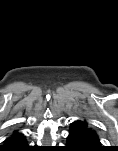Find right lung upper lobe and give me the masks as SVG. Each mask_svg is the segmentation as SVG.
I'll use <instances>...</instances> for the list:
<instances>
[{"mask_svg": "<svg viewBox=\"0 0 118 151\" xmlns=\"http://www.w3.org/2000/svg\"><path fill=\"white\" fill-rule=\"evenodd\" d=\"M23 140H25L23 134L14 132L9 138L6 139L8 145H0V149L5 150L4 147H6L7 149L15 148L14 146L21 143Z\"/></svg>", "mask_w": 118, "mask_h": 151, "instance_id": "1", "label": "right lung upper lobe"}]
</instances>
